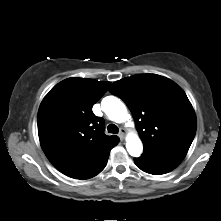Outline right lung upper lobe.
<instances>
[{
    "mask_svg": "<svg viewBox=\"0 0 221 221\" xmlns=\"http://www.w3.org/2000/svg\"><path fill=\"white\" fill-rule=\"evenodd\" d=\"M110 82L68 78L44 97L38 111L41 147L62 173L84 167L116 146L119 138L104 134L103 118L92 112Z\"/></svg>",
    "mask_w": 221,
    "mask_h": 221,
    "instance_id": "1",
    "label": "right lung upper lobe"
}]
</instances>
